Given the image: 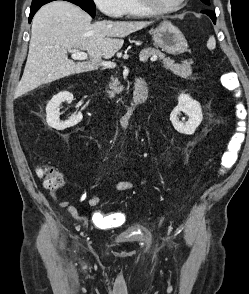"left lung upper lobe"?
<instances>
[{
	"label": "left lung upper lobe",
	"mask_w": 249,
	"mask_h": 294,
	"mask_svg": "<svg viewBox=\"0 0 249 294\" xmlns=\"http://www.w3.org/2000/svg\"><path fill=\"white\" fill-rule=\"evenodd\" d=\"M203 3H205L206 5H210V0H201Z\"/></svg>",
	"instance_id": "1"
}]
</instances>
